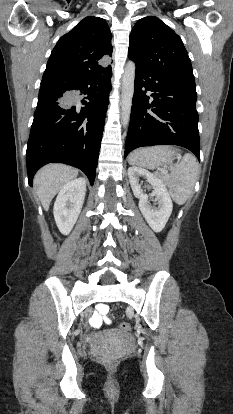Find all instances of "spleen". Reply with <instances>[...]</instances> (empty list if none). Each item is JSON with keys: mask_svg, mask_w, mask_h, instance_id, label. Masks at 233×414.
Returning <instances> with one entry per match:
<instances>
[{"mask_svg": "<svg viewBox=\"0 0 233 414\" xmlns=\"http://www.w3.org/2000/svg\"><path fill=\"white\" fill-rule=\"evenodd\" d=\"M136 155L137 150L130 154L129 163L144 167L137 161ZM199 174V163L192 154H185L182 161L172 165L170 173H157L165 185L168 186L173 200L179 205H183L191 199Z\"/></svg>", "mask_w": 233, "mask_h": 414, "instance_id": "obj_1", "label": "spleen"}]
</instances>
